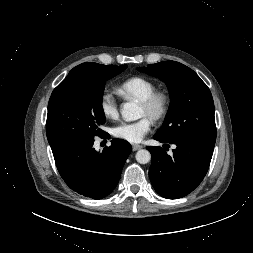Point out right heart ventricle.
I'll return each mask as SVG.
<instances>
[{"mask_svg":"<svg viewBox=\"0 0 253 253\" xmlns=\"http://www.w3.org/2000/svg\"><path fill=\"white\" fill-rule=\"evenodd\" d=\"M156 90V84L142 76H134L123 81L118 92L125 98H135L142 100Z\"/></svg>","mask_w":253,"mask_h":253,"instance_id":"right-heart-ventricle-1","label":"right heart ventricle"}]
</instances>
